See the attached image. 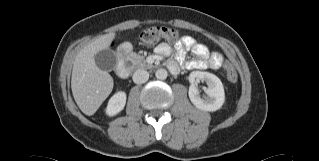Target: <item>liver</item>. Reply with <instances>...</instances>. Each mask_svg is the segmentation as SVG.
I'll use <instances>...</instances> for the list:
<instances>
[{
	"instance_id": "obj_1",
	"label": "liver",
	"mask_w": 319,
	"mask_h": 161,
	"mask_svg": "<svg viewBox=\"0 0 319 161\" xmlns=\"http://www.w3.org/2000/svg\"><path fill=\"white\" fill-rule=\"evenodd\" d=\"M116 34L102 35L79 51L74 62L71 89L75 102L86 115H93L113 89L111 75L97 67L94 56L107 49Z\"/></svg>"
}]
</instances>
